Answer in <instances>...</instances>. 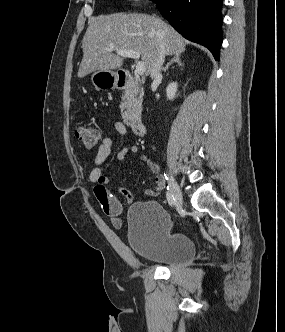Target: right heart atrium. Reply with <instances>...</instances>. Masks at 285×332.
Listing matches in <instances>:
<instances>
[{"mask_svg": "<svg viewBox=\"0 0 285 332\" xmlns=\"http://www.w3.org/2000/svg\"><path fill=\"white\" fill-rule=\"evenodd\" d=\"M133 2H140V1H142V0H132Z\"/></svg>", "mask_w": 285, "mask_h": 332, "instance_id": "1", "label": "right heart atrium"}]
</instances>
